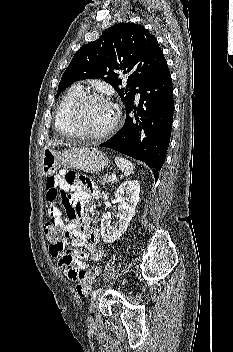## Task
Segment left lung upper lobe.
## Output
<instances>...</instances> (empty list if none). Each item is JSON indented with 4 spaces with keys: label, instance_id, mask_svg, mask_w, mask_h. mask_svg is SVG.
Segmentation results:
<instances>
[{
    "label": "left lung upper lobe",
    "instance_id": "1",
    "mask_svg": "<svg viewBox=\"0 0 233 352\" xmlns=\"http://www.w3.org/2000/svg\"><path fill=\"white\" fill-rule=\"evenodd\" d=\"M165 65L166 59L156 38L144 26L116 24L98 40L75 53L61 78L56 96L77 80L102 78L115 88L126 108L142 86ZM121 72L129 75L126 88H119Z\"/></svg>",
    "mask_w": 233,
    "mask_h": 352
}]
</instances>
